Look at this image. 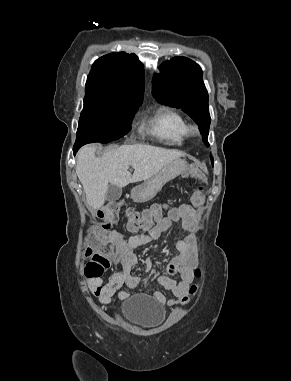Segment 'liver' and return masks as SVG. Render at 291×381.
<instances>
[{"instance_id":"liver-1","label":"liver","mask_w":291,"mask_h":381,"mask_svg":"<svg viewBox=\"0 0 291 381\" xmlns=\"http://www.w3.org/2000/svg\"><path fill=\"white\" fill-rule=\"evenodd\" d=\"M96 145H86L77 154L76 174L83 185L88 204L103 206L109 184L120 188L147 180L184 153L145 144L123 145L101 157L95 156ZM129 166L134 168L131 175Z\"/></svg>"}]
</instances>
